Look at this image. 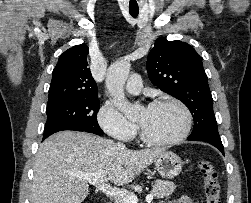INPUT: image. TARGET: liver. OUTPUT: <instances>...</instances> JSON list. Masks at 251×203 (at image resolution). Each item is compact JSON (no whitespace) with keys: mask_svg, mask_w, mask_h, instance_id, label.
<instances>
[{"mask_svg":"<svg viewBox=\"0 0 251 203\" xmlns=\"http://www.w3.org/2000/svg\"><path fill=\"white\" fill-rule=\"evenodd\" d=\"M164 151H132L92 134L58 132L40 144L36 154L31 203H82L89 192L88 184L77 173L105 170L115 185H126Z\"/></svg>","mask_w":251,"mask_h":203,"instance_id":"1","label":"liver"}]
</instances>
